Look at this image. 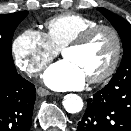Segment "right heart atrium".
I'll return each instance as SVG.
<instances>
[{
  "label": "right heart atrium",
  "instance_id": "1",
  "mask_svg": "<svg viewBox=\"0 0 131 131\" xmlns=\"http://www.w3.org/2000/svg\"><path fill=\"white\" fill-rule=\"evenodd\" d=\"M12 53L16 65L27 74L33 75L54 59L59 51L44 33L27 29L13 40Z\"/></svg>",
  "mask_w": 131,
  "mask_h": 131
}]
</instances>
